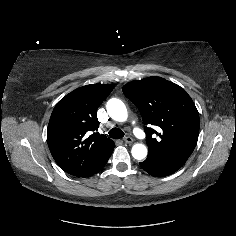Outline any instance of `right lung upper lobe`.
<instances>
[{
    "label": "right lung upper lobe",
    "instance_id": "1",
    "mask_svg": "<svg viewBox=\"0 0 236 236\" xmlns=\"http://www.w3.org/2000/svg\"><path fill=\"white\" fill-rule=\"evenodd\" d=\"M112 85L91 84L63 97L55 106L48 125L47 142L57 164L67 173L84 177L115 144L95 131L97 109L111 93Z\"/></svg>",
    "mask_w": 236,
    "mask_h": 236
}]
</instances>
